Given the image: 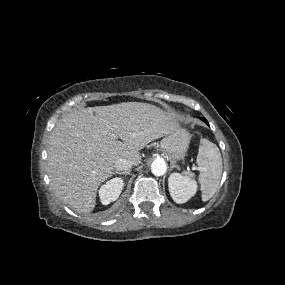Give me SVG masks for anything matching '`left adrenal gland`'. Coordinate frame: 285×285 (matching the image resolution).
<instances>
[{"instance_id": "a2214340", "label": "left adrenal gland", "mask_w": 285, "mask_h": 285, "mask_svg": "<svg viewBox=\"0 0 285 285\" xmlns=\"http://www.w3.org/2000/svg\"><path fill=\"white\" fill-rule=\"evenodd\" d=\"M175 163H176L175 161H172V162H171V167H170V168H171V169H173V168H177V169L179 170V169H180V168H179V166H178V165H176Z\"/></svg>"}]
</instances>
